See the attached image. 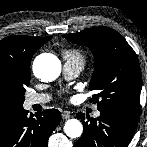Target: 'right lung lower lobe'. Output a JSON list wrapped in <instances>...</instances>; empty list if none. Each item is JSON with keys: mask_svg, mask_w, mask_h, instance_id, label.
I'll return each instance as SVG.
<instances>
[{"mask_svg": "<svg viewBox=\"0 0 147 147\" xmlns=\"http://www.w3.org/2000/svg\"><path fill=\"white\" fill-rule=\"evenodd\" d=\"M61 120L56 109L33 116L23 108L0 117V147H47L48 139Z\"/></svg>", "mask_w": 147, "mask_h": 147, "instance_id": "obj_1", "label": "right lung lower lobe"}]
</instances>
